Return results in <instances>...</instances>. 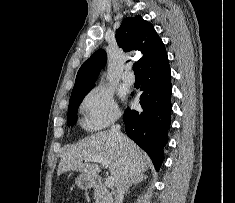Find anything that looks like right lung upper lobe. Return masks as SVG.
Listing matches in <instances>:
<instances>
[{
  "mask_svg": "<svg viewBox=\"0 0 235 203\" xmlns=\"http://www.w3.org/2000/svg\"><path fill=\"white\" fill-rule=\"evenodd\" d=\"M116 41L124 51L138 50L143 54L139 60L141 70L167 56L165 46L153 25L141 16L125 18L116 32ZM106 62V52L97 50L80 67L72 94L94 86L101 68Z\"/></svg>",
  "mask_w": 235,
  "mask_h": 203,
  "instance_id": "cb5924a9",
  "label": "right lung upper lobe"
}]
</instances>
